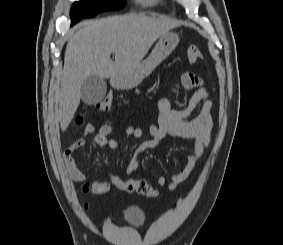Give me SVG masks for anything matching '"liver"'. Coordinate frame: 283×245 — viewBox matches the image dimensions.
Wrapping results in <instances>:
<instances>
[{"label": "liver", "mask_w": 283, "mask_h": 245, "mask_svg": "<svg viewBox=\"0 0 283 245\" xmlns=\"http://www.w3.org/2000/svg\"><path fill=\"white\" fill-rule=\"evenodd\" d=\"M177 26L172 20L143 15L84 22L66 46L58 94L61 130L65 131L74 117L86 77L113 79L134 68L158 38ZM111 53H115L114 61Z\"/></svg>", "instance_id": "1"}]
</instances>
